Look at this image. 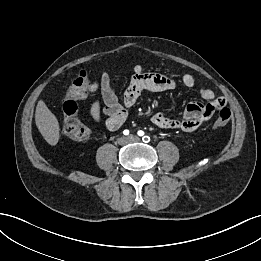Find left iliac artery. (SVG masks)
I'll return each mask as SVG.
<instances>
[{
    "instance_id": "44dca946",
    "label": "left iliac artery",
    "mask_w": 261,
    "mask_h": 261,
    "mask_svg": "<svg viewBox=\"0 0 261 261\" xmlns=\"http://www.w3.org/2000/svg\"><path fill=\"white\" fill-rule=\"evenodd\" d=\"M137 134H138L139 136H143V135H144V132H143L142 130H139V131L137 132ZM142 140H143L144 142L148 143V142H150V137H149V136H144V137L142 138Z\"/></svg>"
}]
</instances>
